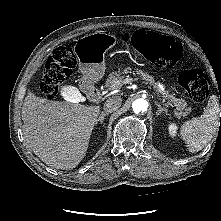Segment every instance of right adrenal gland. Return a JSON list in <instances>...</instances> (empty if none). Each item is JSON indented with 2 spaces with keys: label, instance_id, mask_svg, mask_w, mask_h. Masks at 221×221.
I'll list each match as a JSON object with an SVG mask.
<instances>
[{
  "label": "right adrenal gland",
  "instance_id": "right-adrenal-gland-1",
  "mask_svg": "<svg viewBox=\"0 0 221 221\" xmlns=\"http://www.w3.org/2000/svg\"><path fill=\"white\" fill-rule=\"evenodd\" d=\"M108 115L109 113H101L99 118L96 120L95 125H97L98 123L103 124L105 116H108Z\"/></svg>",
  "mask_w": 221,
  "mask_h": 221
}]
</instances>
